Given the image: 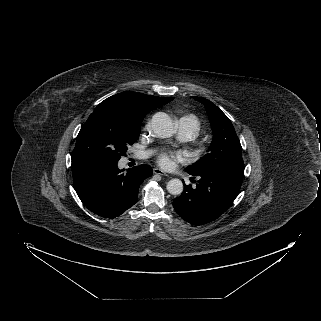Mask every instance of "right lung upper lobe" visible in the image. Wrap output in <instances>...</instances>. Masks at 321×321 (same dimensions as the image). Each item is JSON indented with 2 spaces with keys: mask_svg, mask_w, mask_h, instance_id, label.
Returning <instances> with one entry per match:
<instances>
[{
  "mask_svg": "<svg viewBox=\"0 0 321 321\" xmlns=\"http://www.w3.org/2000/svg\"><path fill=\"white\" fill-rule=\"evenodd\" d=\"M173 97H156L138 92H122L113 95L103 103H109L124 107L134 117H145L150 111L167 104Z\"/></svg>",
  "mask_w": 321,
  "mask_h": 321,
  "instance_id": "obj_1",
  "label": "right lung upper lobe"
}]
</instances>
